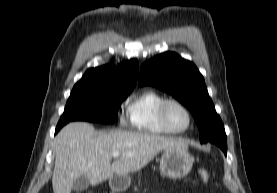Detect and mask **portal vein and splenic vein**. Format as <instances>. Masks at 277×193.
<instances>
[{
	"instance_id": "1",
	"label": "portal vein and splenic vein",
	"mask_w": 277,
	"mask_h": 193,
	"mask_svg": "<svg viewBox=\"0 0 277 193\" xmlns=\"http://www.w3.org/2000/svg\"><path fill=\"white\" fill-rule=\"evenodd\" d=\"M120 155H121V154H120L119 152H114V153H113V157H114V158H117V157H119ZM128 156H129V155H128Z\"/></svg>"
}]
</instances>
